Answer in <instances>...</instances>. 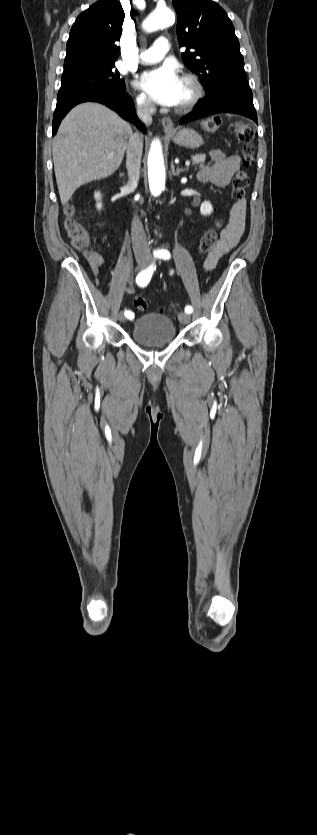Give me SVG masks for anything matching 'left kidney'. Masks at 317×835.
Segmentation results:
<instances>
[{"instance_id": "left-kidney-1", "label": "left kidney", "mask_w": 317, "mask_h": 835, "mask_svg": "<svg viewBox=\"0 0 317 835\" xmlns=\"http://www.w3.org/2000/svg\"><path fill=\"white\" fill-rule=\"evenodd\" d=\"M212 211H213V207H212V205L209 201H204L201 204L200 212H201L202 215H204V216L210 215L212 213Z\"/></svg>"}]
</instances>
